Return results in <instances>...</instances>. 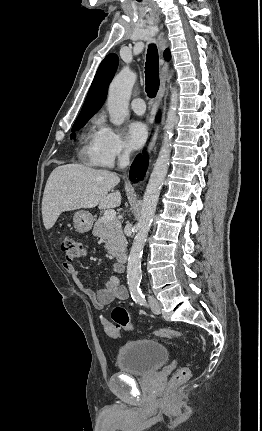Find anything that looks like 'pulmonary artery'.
<instances>
[{
  "instance_id": "1",
  "label": "pulmonary artery",
  "mask_w": 262,
  "mask_h": 431,
  "mask_svg": "<svg viewBox=\"0 0 262 431\" xmlns=\"http://www.w3.org/2000/svg\"><path fill=\"white\" fill-rule=\"evenodd\" d=\"M131 108L134 113L141 115L145 112V101L141 97H137L131 101Z\"/></svg>"
}]
</instances>
